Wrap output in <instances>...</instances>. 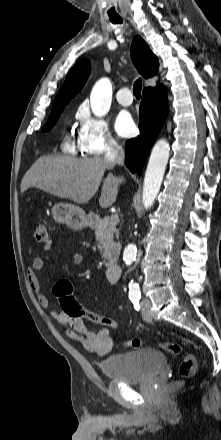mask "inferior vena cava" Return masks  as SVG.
I'll return each mask as SVG.
<instances>
[{"mask_svg": "<svg viewBox=\"0 0 221 440\" xmlns=\"http://www.w3.org/2000/svg\"><path fill=\"white\" fill-rule=\"evenodd\" d=\"M104 160L110 165H123L124 163V150L123 148L113 139L108 141V147L106 149Z\"/></svg>", "mask_w": 221, "mask_h": 440, "instance_id": "obj_1", "label": "inferior vena cava"}]
</instances>
